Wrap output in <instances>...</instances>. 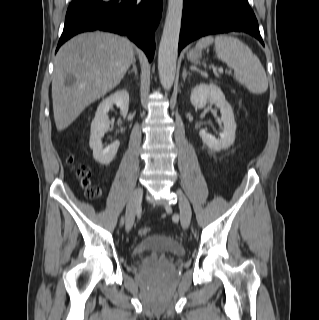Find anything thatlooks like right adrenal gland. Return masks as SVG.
<instances>
[{
	"label": "right adrenal gland",
	"instance_id": "obj_1",
	"mask_svg": "<svg viewBox=\"0 0 319 320\" xmlns=\"http://www.w3.org/2000/svg\"><path fill=\"white\" fill-rule=\"evenodd\" d=\"M132 70H129L128 73H131L132 71H134L135 75H137V67H136V59L134 58L133 59V62H132Z\"/></svg>",
	"mask_w": 319,
	"mask_h": 320
}]
</instances>
